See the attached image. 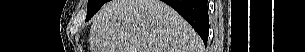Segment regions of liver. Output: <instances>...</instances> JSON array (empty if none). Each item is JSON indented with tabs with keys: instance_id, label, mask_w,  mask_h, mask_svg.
<instances>
[{
	"instance_id": "obj_1",
	"label": "liver",
	"mask_w": 305,
	"mask_h": 52,
	"mask_svg": "<svg viewBox=\"0 0 305 52\" xmlns=\"http://www.w3.org/2000/svg\"><path fill=\"white\" fill-rule=\"evenodd\" d=\"M91 52H202L194 29L160 0H112L92 20Z\"/></svg>"
}]
</instances>
